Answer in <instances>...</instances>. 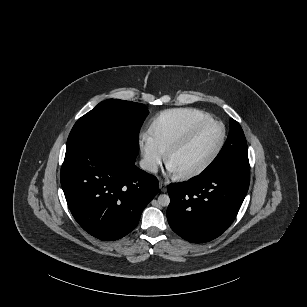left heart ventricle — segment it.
Segmentation results:
<instances>
[{
    "label": "left heart ventricle",
    "mask_w": 307,
    "mask_h": 307,
    "mask_svg": "<svg viewBox=\"0 0 307 307\" xmlns=\"http://www.w3.org/2000/svg\"><path fill=\"white\" fill-rule=\"evenodd\" d=\"M223 136L224 127L221 123L211 125L190 146L176 154L169 167L175 174L197 167L214 153Z\"/></svg>",
    "instance_id": "1"
}]
</instances>
